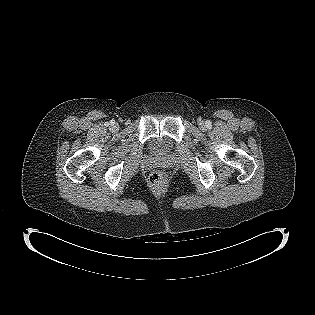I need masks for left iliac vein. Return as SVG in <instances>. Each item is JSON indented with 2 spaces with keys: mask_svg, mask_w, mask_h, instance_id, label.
I'll return each mask as SVG.
<instances>
[{
  "mask_svg": "<svg viewBox=\"0 0 315 315\" xmlns=\"http://www.w3.org/2000/svg\"><path fill=\"white\" fill-rule=\"evenodd\" d=\"M199 126H200V128L203 129V128H205L206 125H205V123L203 121H200L199 122Z\"/></svg>",
  "mask_w": 315,
  "mask_h": 315,
  "instance_id": "left-iliac-vein-1",
  "label": "left iliac vein"
}]
</instances>
